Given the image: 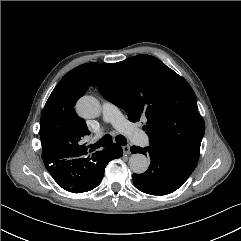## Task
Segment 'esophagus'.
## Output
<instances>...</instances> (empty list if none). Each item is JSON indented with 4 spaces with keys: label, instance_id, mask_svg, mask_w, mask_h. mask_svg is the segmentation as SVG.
Masks as SVG:
<instances>
[{
    "label": "esophagus",
    "instance_id": "obj_1",
    "mask_svg": "<svg viewBox=\"0 0 241 241\" xmlns=\"http://www.w3.org/2000/svg\"><path fill=\"white\" fill-rule=\"evenodd\" d=\"M122 149H123L124 154H126V155H129L131 153L129 145L123 146Z\"/></svg>",
    "mask_w": 241,
    "mask_h": 241
}]
</instances>
